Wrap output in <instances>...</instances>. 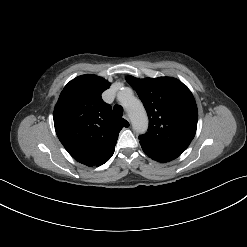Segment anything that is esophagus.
I'll return each mask as SVG.
<instances>
[{
  "mask_svg": "<svg viewBox=\"0 0 247 247\" xmlns=\"http://www.w3.org/2000/svg\"><path fill=\"white\" fill-rule=\"evenodd\" d=\"M124 119L127 120L128 122H130V118L127 114L124 115Z\"/></svg>",
  "mask_w": 247,
  "mask_h": 247,
  "instance_id": "esophagus-1",
  "label": "esophagus"
}]
</instances>
